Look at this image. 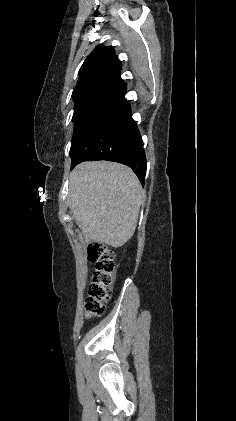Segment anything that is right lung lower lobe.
Wrapping results in <instances>:
<instances>
[{
	"label": "right lung lower lobe",
	"instance_id": "right-lung-lower-lobe-1",
	"mask_svg": "<svg viewBox=\"0 0 236 421\" xmlns=\"http://www.w3.org/2000/svg\"><path fill=\"white\" fill-rule=\"evenodd\" d=\"M126 88L125 83L122 85ZM109 160L127 165L144 184L146 158L128 100L122 102L80 145L71 169L82 161Z\"/></svg>",
	"mask_w": 236,
	"mask_h": 421
}]
</instances>
